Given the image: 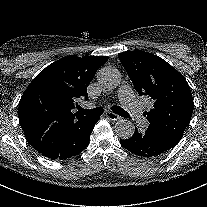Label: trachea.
Instances as JSON below:
<instances>
[{"mask_svg":"<svg viewBox=\"0 0 207 207\" xmlns=\"http://www.w3.org/2000/svg\"><path fill=\"white\" fill-rule=\"evenodd\" d=\"M78 110H79L80 114H85V115H89V116H99L103 113V109L101 107H97V108L92 109V110H87V109H83V108L80 107ZM112 111L114 113L120 115L121 117L131 119L130 114L127 111H125L124 109H122L118 106H113Z\"/></svg>","mask_w":207,"mask_h":207,"instance_id":"1","label":"trachea"}]
</instances>
